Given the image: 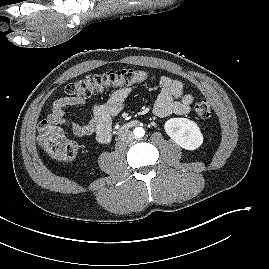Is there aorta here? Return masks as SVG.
<instances>
[{
	"instance_id": "obj_1",
	"label": "aorta",
	"mask_w": 269,
	"mask_h": 269,
	"mask_svg": "<svg viewBox=\"0 0 269 269\" xmlns=\"http://www.w3.org/2000/svg\"><path fill=\"white\" fill-rule=\"evenodd\" d=\"M133 134L136 138H141L145 135V130L142 127H136L133 131Z\"/></svg>"
}]
</instances>
